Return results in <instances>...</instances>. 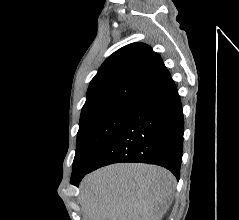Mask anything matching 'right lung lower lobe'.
<instances>
[{
  "label": "right lung lower lobe",
  "instance_id": "right-lung-lower-lobe-1",
  "mask_svg": "<svg viewBox=\"0 0 239 220\" xmlns=\"http://www.w3.org/2000/svg\"><path fill=\"white\" fill-rule=\"evenodd\" d=\"M183 133L182 105L170 76L131 105L87 173L112 163L140 162L163 166L179 179ZM83 177L71 184L78 186Z\"/></svg>",
  "mask_w": 239,
  "mask_h": 220
}]
</instances>
